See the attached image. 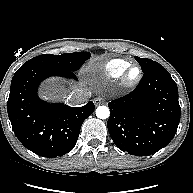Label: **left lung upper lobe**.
Returning a JSON list of instances; mask_svg holds the SVG:
<instances>
[{"instance_id": "1", "label": "left lung upper lobe", "mask_w": 193, "mask_h": 193, "mask_svg": "<svg viewBox=\"0 0 193 193\" xmlns=\"http://www.w3.org/2000/svg\"><path fill=\"white\" fill-rule=\"evenodd\" d=\"M135 59L140 64L141 69H142L143 72H146L149 69H151V68H153V67H155L159 64V63H157L153 60L147 59V58H140V57L136 56Z\"/></svg>"}]
</instances>
